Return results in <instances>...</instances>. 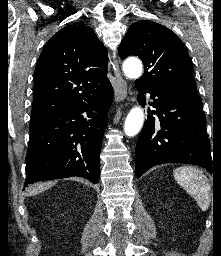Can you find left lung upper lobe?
<instances>
[{
    "label": "left lung upper lobe",
    "instance_id": "1",
    "mask_svg": "<svg viewBox=\"0 0 221 256\" xmlns=\"http://www.w3.org/2000/svg\"><path fill=\"white\" fill-rule=\"evenodd\" d=\"M119 55L138 56L144 63L143 76L135 81L153 90L197 95L193 66L178 36L153 21L133 23L119 47Z\"/></svg>",
    "mask_w": 221,
    "mask_h": 256
}]
</instances>
